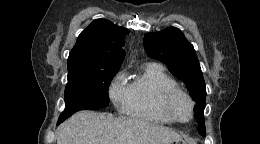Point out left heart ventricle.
I'll list each match as a JSON object with an SVG mask.
<instances>
[{
    "label": "left heart ventricle",
    "instance_id": "obj_1",
    "mask_svg": "<svg viewBox=\"0 0 260 144\" xmlns=\"http://www.w3.org/2000/svg\"><path fill=\"white\" fill-rule=\"evenodd\" d=\"M172 109L180 119L185 120L190 116V104L184 97H177L172 104Z\"/></svg>",
    "mask_w": 260,
    "mask_h": 144
}]
</instances>
